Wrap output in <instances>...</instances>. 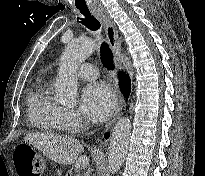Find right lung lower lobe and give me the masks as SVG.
<instances>
[{
    "label": "right lung lower lobe",
    "instance_id": "obj_1",
    "mask_svg": "<svg viewBox=\"0 0 205 176\" xmlns=\"http://www.w3.org/2000/svg\"><path fill=\"white\" fill-rule=\"evenodd\" d=\"M120 86L123 93L128 96L131 90V82L129 77L124 73H120ZM108 137H109V133H106L105 138Z\"/></svg>",
    "mask_w": 205,
    "mask_h": 176
}]
</instances>
